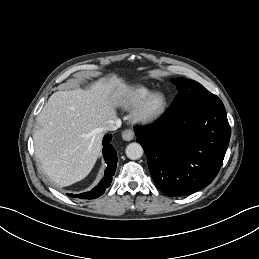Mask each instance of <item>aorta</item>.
<instances>
[{"instance_id":"obj_1","label":"aorta","mask_w":259,"mask_h":259,"mask_svg":"<svg viewBox=\"0 0 259 259\" xmlns=\"http://www.w3.org/2000/svg\"><path fill=\"white\" fill-rule=\"evenodd\" d=\"M143 155V148L139 143L133 142L126 147V156L131 160H137Z\"/></svg>"}]
</instances>
